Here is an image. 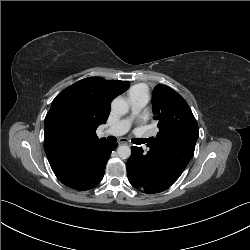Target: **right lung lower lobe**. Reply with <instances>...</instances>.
<instances>
[{
    "label": "right lung lower lobe",
    "mask_w": 250,
    "mask_h": 250,
    "mask_svg": "<svg viewBox=\"0 0 250 250\" xmlns=\"http://www.w3.org/2000/svg\"><path fill=\"white\" fill-rule=\"evenodd\" d=\"M117 146L118 144L109 143L108 141L97 144L82 162L81 169L84 171L82 180L75 185L68 183L63 184L81 191L89 190L98 185L103 179L110 154Z\"/></svg>",
    "instance_id": "98d812e1"
}]
</instances>
